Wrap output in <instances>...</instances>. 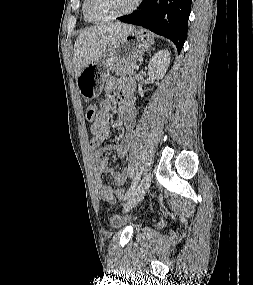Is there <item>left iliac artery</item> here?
Returning a JSON list of instances; mask_svg holds the SVG:
<instances>
[{
  "instance_id": "left-iliac-artery-1",
  "label": "left iliac artery",
  "mask_w": 253,
  "mask_h": 285,
  "mask_svg": "<svg viewBox=\"0 0 253 285\" xmlns=\"http://www.w3.org/2000/svg\"><path fill=\"white\" fill-rule=\"evenodd\" d=\"M142 171H143V167H141L140 171L136 174L130 188L127 190V192L125 194L124 200L129 199L131 197V195H133L135 188H136V186H137V184L141 178Z\"/></svg>"
}]
</instances>
